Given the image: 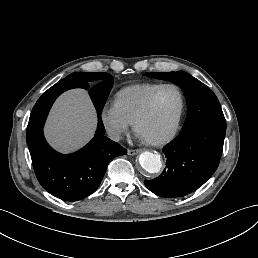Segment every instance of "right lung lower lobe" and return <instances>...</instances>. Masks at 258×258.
Here are the masks:
<instances>
[{
    "label": "right lung lower lobe",
    "mask_w": 258,
    "mask_h": 258,
    "mask_svg": "<svg viewBox=\"0 0 258 258\" xmlns=\"http://www.w3.org/2000/svg\"><path fill=\"white\" fill-rule=\"evenodd\" d=\"M99 84L89 92L92 100ZM89 87V81L76 77L60 80L36 102L27 127L26 141L39 183L50 194L65 201L81 200L92 194L99 187L109 162L127 153L120 144L104 136L105 128L99 114L96 134L81 150L65 155L46 142L43 126L56 98L68 89L87 90Z\"/></svg>",
    "instance_id": "98d812e1"
}]
</instances>
